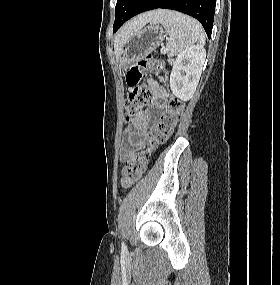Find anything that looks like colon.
I'll return each mask as SVG.
<instances>
[{
    "instance_id": "colon-1",
    "label": "colon",
    "mask_w": 280,
    "mask_h": 285,
    "mask_svg": "<svg viewBox=\"0 0 280 285\" xmlns=\"http://www.w3.org/2000/svg\"><path fill=\"white\" fill-rule=\"evenodd\" d=\"M148 71L154 76H160L163 72V63L152 56H147L129 67L126 82L131 92L125 102L124 119L126 121L131 120L151 98L150 89L141 84L146 79ZM183 109L182 101L174 97L168 99L166 110L147 138L145 148L138 150L125 161L121 174V184L124 188L131 187L141 178L146 165V153L156 149L171 136L182 116Z\"/></svg>"
}]
</instances>
